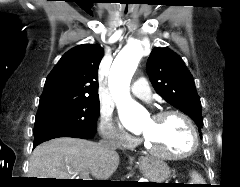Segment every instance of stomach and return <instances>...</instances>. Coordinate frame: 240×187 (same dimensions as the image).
Here are the masks:
<instances>
[{"label": "stomach", "mask_w": 240, "mask_h": 187, "mask_svg": "<svg viewBox=\"0 0 240 187\" xmlns=\"http://www.w3.org/2000/svg\"><path fill=\"white\" fill-rule=\"evenodd\" d=\"M141 170L150 182L163 183L170 176V168L163 160L145 158L141 163Z\"/></svg>", "instance_id": "1"}]
</instances>
